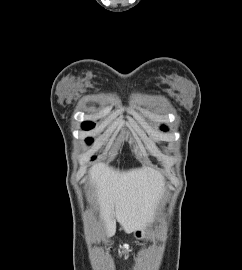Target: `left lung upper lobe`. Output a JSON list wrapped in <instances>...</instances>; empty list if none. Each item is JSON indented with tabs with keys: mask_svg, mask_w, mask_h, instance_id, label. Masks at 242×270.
Instances as JSON below:
<instances>
[{
	"mask_svg": "<svg viewBox=\"0 0 242 270\" xmlns=\"http://www.w3.org/2000/svg\"><path fill=\"white\" fill-rule=\"evenodd\" d=\"M162 130H166V128H165V127H163V128H162Z\"/></svg>",
	"mask_w": 242,
	"mask_h": 270,
	"instance_id": "1",
	"label": "left lung upper lobe"
}]
</instances>
